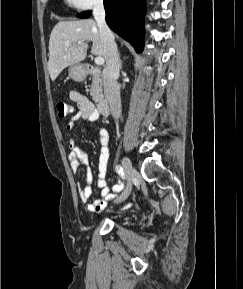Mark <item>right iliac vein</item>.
Returning a JSON list of instances; mask_svg holds the SVG:
<instances>
[{
    "instance_id": "right-iliac-vein-1",
    "label": "right iliac vein",
    "mask_w": 243,
    "mask_h": 289,
    "mask_svg": "<svg viewBox=\"0 0 243 289\" xmlns=\"http://www.w3.org/2000/svg\"><path fill=\"white\" fill-rule=\"evenodd\" d=\"M122 166H123L126 178H127V185H126L125 190L122 192V194L115 200V203L123 202L124 200L128 198L132 190V180L135 175V170L128 157H123Z\"/></svg>"
}]
</instances>
